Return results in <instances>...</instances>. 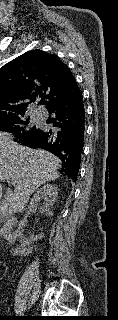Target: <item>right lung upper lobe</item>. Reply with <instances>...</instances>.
<instances>
[{
  "instance_id": "1",
  "label": "right lung upper lobe",
  "mask_w": 118,
  "mask_h": 320,
  "mask_svg": "<svg viewBox=\"0 0 118 320\" xmlns=\"http://www.w3.org/2000/svg\"><path fill=\"white\" fill-rule=\"evenodd\" d=\"M78 92L74 76L56 55L26 52L0 69V119L24 117L31 102L48 108Z\"/></svg>"
}]
</instances>
